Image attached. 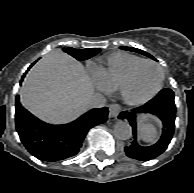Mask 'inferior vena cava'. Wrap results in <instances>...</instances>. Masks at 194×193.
Here are the masks:
<instances>
[{"instance_id": "inferior-vena-cava-1", "label": "inferior vena cava", "mask_w": 194, "mask_h": 193, "mask_svg": "<svg viewBox=\"0 0 194 193\" xmlns=\"http://www.w3.org/2000/svg\"><path fill=\"white\" fill-rule=\"evenodd\" d=\"M106 103V98L99 93L92 94L86 101V106L88 108H101L104 107Z\"/></svg>"}]
</instances>
